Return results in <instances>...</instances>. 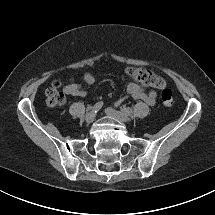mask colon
Returning a JSON list of instances; mask_svg holds the SVG:
<instances>
[{
	"label": "colon",
	"instance_id": "colon-1",
	"mask_svg": "<svg viewBox=\"0 0 215 215\" xmlns=\"http://www.w3.org/2000/svg\"><path fill=\"white\" fill-rule=\"evenodd\" d=\"M126 74L132 79L140 82L141 84L149 87L160 88L161 101L165 106H171L173 104V95L170 89L165 88V81L154 72L139 68V67H128ZM60 82H55L52 87L46 91V103L48 106L55 107L63 104L65 98L63 93L60 91Z\"/></svg>",
	"mask_w": 215,
	"mask_h": 215
}]
</instances>
